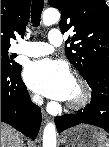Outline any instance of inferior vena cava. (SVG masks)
<instances>
[{
  "instance_id": "inferior-vena-cava-1",
  "label": "inferior vena cava",
  "mask_w": 109,
  "mask_h": 147,
  "mask_svg": "<svg viewBox=\"0 0 109 147\" xmlns=\"http://www.w3.org/2000/svg\"><path fill=\"white\" fill-rule=\"evenodd\" d=\"M33 101H34L36 104L41 105L42 102H43V99H42L41 96L36 95V96L33 97Z\"/></svg>"
}]
</instances>
